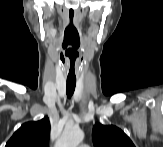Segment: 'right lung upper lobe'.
I'll return each instance as SVG.
<instances>
[{
	"label": "right lung upper lobe",
	"instance_id": "obj_1",
	"mask_svg": "<svg viewBox=\"0 0 163 147\" xmlns=\"http://www.w3.org/2000/svg\"><path fill=\"white\" fill-rule=\"evenodd\" d=\"M50 122L48 117L40 121L24 123L13 134L6 147H48Z\"/></svg>",
	"mask_w": 163,
	"mask_h": 147
}]
</instances>
